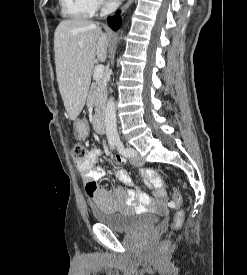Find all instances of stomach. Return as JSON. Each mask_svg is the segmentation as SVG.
Here are the masks:
<instances>
[{
	"label": "stomach",
	"mask_w": 247,
	"mask_h": 275,
	"mask_svg": "<svg viewBox=\"0 0 247 275\" xmlns=\"http://www.w3.org/2000/svg\"><path fill=\"white\" fill-rule=\"evenodd\" d=\"M75 135L79 139L87 135V126L84 122L80 120L75 121Z\"/></svg>",
	"instance_id": "obj_1"
}]
</instances>
